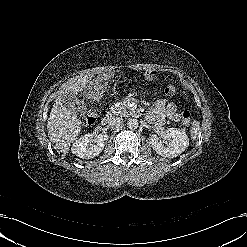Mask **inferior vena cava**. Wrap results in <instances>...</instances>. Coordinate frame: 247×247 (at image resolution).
<instances>
[{
	"label": "inferior vena cava",
	"mask_w": 247,
	"mask_h": 247,
	"mask_svg": "<svg viewBox=\"0 0 247 247\" xmlns=\"http://www.w3.org/2000/svg\"><path fill=\"white\" fill-rule=\"evenodd\" d=\"M107 122L109 126H117L123 122V119L121 117H116L111 115L107 117Z\"/></svg>",
	"instance_id": "obj_1"
}]
</instances>
